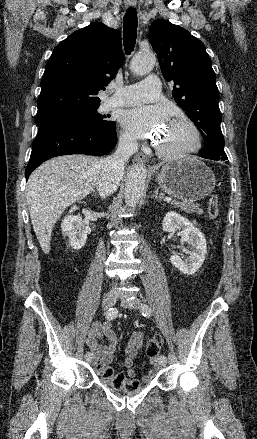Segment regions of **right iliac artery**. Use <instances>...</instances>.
Listing matches in <instances>:
<instances>
[{
	"instance_id": "1",
	"label": "right iliac artery",
	"mask_w": 257,
	"mask_h": 439,
	"mask_svg": "<svg viewBox=\"0 0 257 439\" xmlns=\"http://www.w3.org/2000/svg\"><path fill=\"white\" fill-rule=\"evenodd\" d=\"M106 318L108 319V320H113V319H115L116 318V316H117V310L115 309V308H110L107 312H106ZM85 358L87 359V360H89V359H92V353L91 352H86L85 353Z\"/></svg>"
}]
</instances>
